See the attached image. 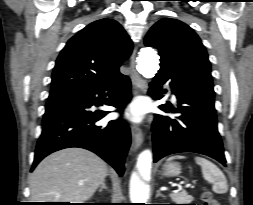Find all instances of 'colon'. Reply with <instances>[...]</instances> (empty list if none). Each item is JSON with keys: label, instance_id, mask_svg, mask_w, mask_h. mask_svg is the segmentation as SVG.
Here are the masks:
<instances>
[{"label": "colon", "instance_id": "5ec220e1", "mask_svg": "<svg viewBox=\"0 0 253 205\" xmlns=\"http://www.w3.org/2000/svg\"><path fill=\"white\" fill-rule=\"evenodd\" d=\"M204 205H221L220 202L209 191H204L202 194Z\"/></svg>", "mask_w": 253, "mask_h": 205}]
</instances>
